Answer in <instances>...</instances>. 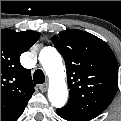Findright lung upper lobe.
<instances>
[{"mask_svg":"<svg viewBox=\"0 0 121 121\" xmlns=\"http://www.w3.org/2000/svg\"><path fill=\"white\" fill-rule=\"evenodd\" d=\"M39 36L35 31L1 30V121H15L34 92L31 72L19 57Z\"/></svg>","mask_w":121,"mask_h":121,"instance_id":"obj_1","label":"right lung upper lobe"}]
</instances>
